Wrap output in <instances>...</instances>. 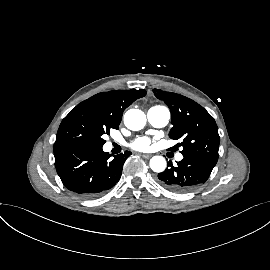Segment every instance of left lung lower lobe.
<instances>
[{
    "label": "left lung lower lobe",
    "instance_id": "0a47b994",
    "mask_svg": "<svg viewBox=\"0 0 270 270\" xmlns=\"http://www.w3.org/2000/svg\"><path fill=\"white\" fill-rule=\"evenodd\" d=\"M215 162L205 158L183 154V159L176 166L170 162L166 170L158 174L163 187L173 192H189L209 178Z\"/></svg>",
    "mask_w": 270,
    "mask_h": 270
}]
</instances>
